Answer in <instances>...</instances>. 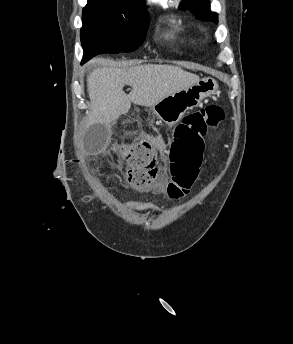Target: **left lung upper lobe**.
<instances>
[{
	"mask_svg": "<svg viewBox=\"0 0 293 344\" xmlns=\"http://www.w3.org/2000/svg\"><path fill=\"white\" fill-rule=\"evenodd\" d=\"M179 8L182 10H190L200 19L218 23V15L210 11L209 0H183Z\"/></svg>",
	"mask_w": 293,
	"mask_h": 344,
	"instance_id": "obj_1",
	"label": "left lung upper lobe"
}]
</instances>
